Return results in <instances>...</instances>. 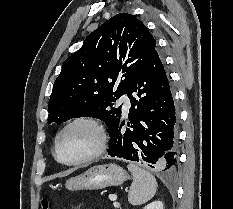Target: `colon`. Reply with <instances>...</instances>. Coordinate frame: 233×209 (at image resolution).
Segmentation results:
<instances>
[{
  "label": "colon",
  "instance_id": "obj_1",
  "mask_svg": "<svg viewBox=\"0 0 233 209\" xmlns=\"http://www.w3.org/2000/svg\"><path fill=\"white\" fill-rule=\"evenodd\" d=\"M41 204H42L43 209H50V201L48 198L44 197L42 199Z\"/></svg>",
  "mask_w": 233,
  "mask_h": 209
}]
</instances>
